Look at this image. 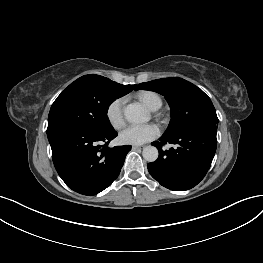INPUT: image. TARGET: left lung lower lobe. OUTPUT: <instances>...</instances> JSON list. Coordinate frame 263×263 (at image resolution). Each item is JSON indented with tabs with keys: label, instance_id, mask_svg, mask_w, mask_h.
<instances>
[{
	"label": "left lung lower lobe",
	"instance_id": "1",
	"mask_svg": "<svg viewBox=\"0 0 263 263\" xmlns=\"http://www.w3.org/2000/svg\"><path fill=\"white\" fill-rule=\"evenodd\" d=\"M216 133L215 128H197L171 137L163 136L152 144L158 148L159 158L147 165L151 176L171 190L193 188L211 166L217 145ZM167 143L177 147L163 151L162 145Z\"/></svg>",
	"mask_w": 263,
	"mask_h": 263
}]
</instances>
